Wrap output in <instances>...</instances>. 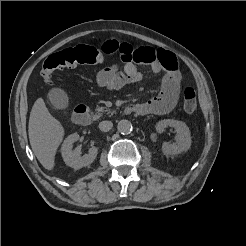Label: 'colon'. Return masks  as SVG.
Returning a JSON list of instances; mask_svg holds the SVG:
<instances>
[{"label": "colon", "instance_id": "colon-1", "mask_svg": "<svg viewBox=\"0 0 246 246\" xmlns=\"http://www.w3.org/2000/svg\"><path fill=\"white\" fill-rule=\"evenodd\" d=\"M103 60L101 50L80 44L50 55L43 63L41 76L44 81L51 83L56 70L71 68L82 64H98ZM183 108L192 113L197 109V97L193 88H186L183 92Z\"/></svg>", "mask_w": 246, "mask_h": 246}]
</instances>
